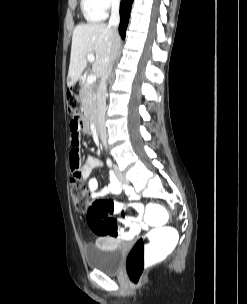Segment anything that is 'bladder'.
<instances>
[{"mask_svg": "<svg viewBox=\"0 0 247 304\" xmlns=\"http://www.w3.org/2000/svg\"><path fill=\"white\" fill-rule=\"evenodd\" d=\"M125 245L102 238L84 249L86 264L91 270L106 273L117 272L124 256Z\"/></svg>", "mask_w": 247, "mask_h": 304, "instance_id": "bladder-1", "label": "bladder"}]
</instances>
